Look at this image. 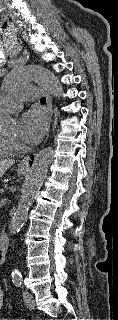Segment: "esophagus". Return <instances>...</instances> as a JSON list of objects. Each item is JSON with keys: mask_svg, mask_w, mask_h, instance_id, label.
Listing matches in <instances>:
<instances>
[{"mask_svg": "<svg viewBox=\"0 0 118 320\" xmlns=\"http://www.w3.org/2000/svg\"><path fill=\"white\" fill-rule=\"evenodd\" d=\"M46 96V102H47V107L50 112V123L52 122V117H53V109H52V99L49 94L45 93ZM37 154L33 153L30 155H27L24 157L20 163V167L23 169H30L34 166L35 161H36Z\"/></svg>", "mask_w": 118, "mask_h": 320, "instance_id": "34e87169", "label": "esophagus"}]
</instances>
